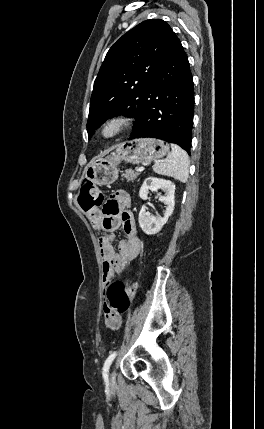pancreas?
<instances>
[{
  "mask_svg": "<svg viewBox=\"0 0 264 429\" xmlns=\"http://www.w3.org/2000/svg\"><path fill=\"white\" fill-rule=\"evenodd\" d=\"M139 173L135 172L134 170H126L123 174V177L127 180V182L134 181L138 177Z\"/></svg>",
  "mask_w": 264,
  "mask_h": 429,
  "instance_id": "obj_1",
  "label": "pancreas"
}]
</instances>
